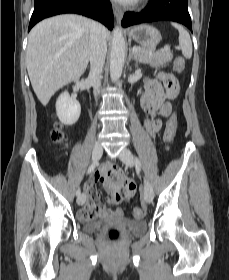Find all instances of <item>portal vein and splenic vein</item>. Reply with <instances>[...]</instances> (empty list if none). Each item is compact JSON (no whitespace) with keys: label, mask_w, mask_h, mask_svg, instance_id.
Here are the masks:
<instances>
[{"label":"portal vein and splenic vein","mask_w":229,"mask_h":280,"mask_svg":"<svg viewBox=\"0 0 229 280\" xmlns=\"http://www.w3.org/2000/svg\"><path fill=\"white\" fill-rule=\"evenodd\" d=\"M132 51H133V52H139V51H140V48H138V47H133V48H132Z\"/></svg>","instance_id":"obj_1"}]
</instances>
